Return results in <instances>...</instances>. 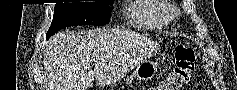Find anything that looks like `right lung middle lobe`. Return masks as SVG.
I'll use <instances>...</instances> for the list:
<instances>
[{"mask_svg": "<svg viewBox=\"0 0 237 90\" xmlns=\"http://www.w3.org/2000/svg\"><path fill=\"white\" fill-rule=\"evenodd\" d=\"M113 0L95 2L57 3L51 26L46 39L54 35L61 28L77 25L102 26L110 20V6Z\"/></svg>", "mask_w": 237, "mask_h": 90, "instance_id": "dd1d6c3e", "label": "right lung middle lobe"}]
</instances>
